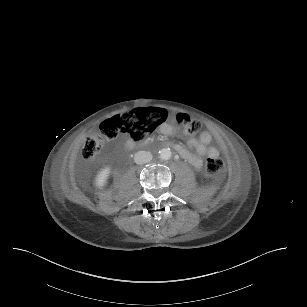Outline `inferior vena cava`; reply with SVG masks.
Masks as SVG:
<instances>
[{
    "instance_id": "obj_1",
    "label": "inferior vena cava",
    "mask_w": 307,
    "mask_h": 307,
    "mask_svg": "<svg viewBox=\"0 0 307 307\" xmlns=\"http://www.w3.org/2000/svg\"><path fill=\"white\" fill-rule=\"evenodd\" d=\"M152 154L148 151H138L134 155V162L138 165L146 164L152 160Z\"/></svg>"
}]
</instances>
